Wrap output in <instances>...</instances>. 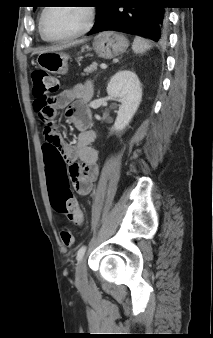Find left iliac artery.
Segmentation results:
<instances>
[{
  "mask_svg": "<svg viewBox=\"0 0 213 338\" xmlns=\"http://www.w3.org/2000/svg\"><path fill=\"white\" fill-rule=\"evenodd\" d=\"M85 251H86V246H82L79 248V250L77 251V256H76V259L78 261H81L84 254H85Z\"/></svg>",
  "mask_w": 213,
  "mask_h": 338,
  "instance_id": "1",
  "label": "left iliac artery"
}]
</instances>
